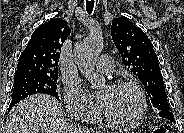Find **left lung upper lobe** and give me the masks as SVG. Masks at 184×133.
Masks as SVG:
<instances>
[{
	"label": "left lung upper lobe",
	"instance_id": "obj_1",
	"mask_svg": "<svg viewBox=\"0 0 184 133\" xmlns=\"http://www.w3.org/2000/svg\"><path fill=\"white\" fill-rule=\"evenodd\" d=\"M111 35L123 64L142 82L153 106L159 111L171 110L158 57L147 35L123 16L113 19Z\"/></svg>",
	"mask_w": 184,
	"mask_h": 133
}]
</instances>
